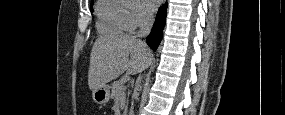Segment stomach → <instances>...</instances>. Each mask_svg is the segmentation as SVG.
Listing matches in <instances>:
<instances>
[{
	"label": "stomach",
	"instance_id": "stomach-1",
	"mask_svg": "<svg viewBox=\"0 0 285 115\" xmlns=\"http://www.w3.org/2000/svg\"><path fill=\"white\" fill-rule=\"evenodd\" d=\"M92 96L95 103L99 105L106 104L110 99V86L104 85L95 89Z\"/></svg>",
	"mask_w": 285,
	"mask_h": 115
}]
</instances>
